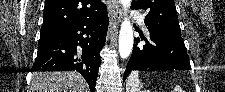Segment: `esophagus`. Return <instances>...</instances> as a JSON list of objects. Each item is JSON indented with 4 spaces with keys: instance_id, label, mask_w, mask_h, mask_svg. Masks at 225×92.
<instances>
[{
    "instance_id": "esophagus-1",
    "label": "esophagus",
    "mask_w": 225,
    "mask_h": 92,
    "mask_svg": "<svg viewBox=\"0 0 225 92\" xmlns=\"http://www.w3.org/2000/svg\"><path fill=\"white\" fill-rule=\"evenodd\" d=\"M122 18V11L120 8V5L118 3V0H112L111 1V21H110V28L109 33L114 34L117 33L118 25Z\"/></svg>"
}]
</instances>
